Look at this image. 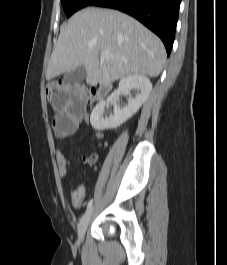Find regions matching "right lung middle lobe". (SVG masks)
Segmentation results:
<instances>
[{"label":"right lung middle lobe","instance_id":"dd1d6c3e","mask_svg":"<svg viewBox=\"0 0 227 265\" xmlns=\"http://www.w3.org/2000/svg\"><path fill=\"white\" fill-rule=\"evenodd\" d=\"M92 1L93 0H61L67 17L71 16L77 10L88 6Z\"/></svg>","mask_w":227,"mask_h":265}]
</instances>
